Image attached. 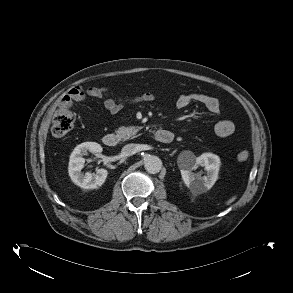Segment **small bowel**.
<instances>
[{"mask_svg":"<svg viewBox=\"0 0 293 293\" xmlns=\"http://www.w3.org/2000/svg\"><path fill=\"white\" fill-rule=\"evenodd\" d=\"M88 98L103 99L104 108L111 114L116 115L125 105L147 103L154 100L155 95L150 92H142L135 96L123 95L119 98L110 96V90L104 86H92L88 88L75 87L71 89L59 102V106L72 107L77 102ZM193 102L201 103L213 115H220L221 107L217 98L203 93L183 94L178 97L176 105L180 109L187 108ZM235 131V124L229 119H221L214 126V133L219 138H226Z\"/></svg>","mask_w":293,"mask_h":293,"instance_id":"1","label":"small bowel"}]
</instances>
